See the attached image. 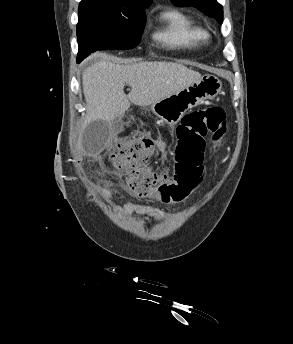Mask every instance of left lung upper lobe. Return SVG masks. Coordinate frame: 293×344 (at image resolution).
Segmentation results:
<instances>
[{"mask_svg":"<svg viewBox=\"0 0 293 344\" xmlns=\"http://www.w3.org/2000/svg\"><path fill=\"white\" fill-rule=\"evenodd\" d=\"M180 7H195L208 16L215 17L219 23L223 22V7L217 0H171Z\"/></svg>","mask_w":293,"mask_h":344,"instance_id":"5c2ea615","label":"left lung upper lobe"}]
</instances>
